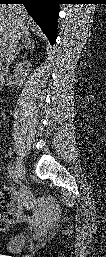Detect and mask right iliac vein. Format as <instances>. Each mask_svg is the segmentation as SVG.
Wrapping results in <instances>:
<instances>
[{
  "instance_id": "63e3f726",
  "label": "right iliac vein",
  "mask_w": 106,
  "mask_h": 257,
  "mask_svg": "<svg viewBox=\"0 0 106 257\" xmlns=\"http://www.w3.org/2000/svg\"><path fill=\"white\" fill-rule=\"evenodd\" d=\"M15 175L18 181H22L25 177V168L23 161L20 157H17L15 162Z\"/></svg>"
}]
</instances>
